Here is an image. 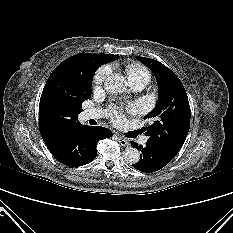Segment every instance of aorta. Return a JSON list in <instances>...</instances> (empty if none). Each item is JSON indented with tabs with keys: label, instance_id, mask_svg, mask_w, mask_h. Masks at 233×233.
Returning <instances> with one entry per match:
<instances>
[{
	"label": "aorta",
	"instance_id": "obj_1",
	"mask_svg": "<svg viewBox=\"0 0 233 233\" xmlns=\"http://www.w3.org/2000/svg\"><path fill=\"white\" fill-rule=\"evenodd\" d=\"M104 86L110 93H122L126 90L127 81L123 75L114 73L105 80ZM123 158L126 163L135 164L140 159V152L133 147L126 148L123 152Z\"/></svg>",
	"mask_w": 233,
	"mask_h": 233
}]
</instances>
